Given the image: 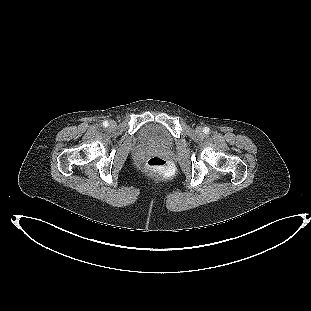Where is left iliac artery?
Masks as SVG:
<instances>
[{"label":"left iliac artery","mask_w":311,"mask_h":311,"mask_svg":"<svg viewBox=\"0 0 311 311\" xmlns=\"http://www.w3.org/2000/svg\"><path fill=\"white\" fill-rule=\"evenodd\" d=\"M203 132H204L205 134H208V133L210 132V129H209L208 127H205V128L203 129Z\"/></svg>","instance_id":"1"}]
</instances>
